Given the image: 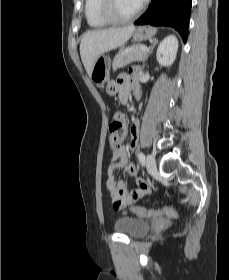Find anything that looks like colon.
<instances>
[{
	"instance_id": "5ec220e1",
	"label": "colon",
	"mask_w": 229,
	"mask_h": 280,
	"mask_svg": "<svg viewBox=\"0 0 229 280\" xmlns=\"http://www.w3.org/2000/svg\"><path fill=\"white\" fill-rule=\"evenodd\" d=\"M126 134V120L122 114L116 115L113 122L109 125V137H108V147L109 152L116 149L120 143L123 141ZM135 194L131 198L117 199L115 205L119 208H126L130 206L136 199ZM133 210L140 216H154L157 214L162 215H172L174 211L171 208H165L161 210H149L143 208H133Z\"/></svg>"
}]
</instances>
